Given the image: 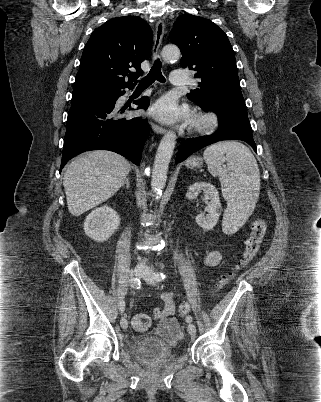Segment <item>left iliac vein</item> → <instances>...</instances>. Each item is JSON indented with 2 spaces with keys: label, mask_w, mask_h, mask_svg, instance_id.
<instances>
[{
  "label": "left iliac vein",
  "mask_w": 321,
  "mask_h": 402,
  "mask_svg": "<svg viewBox=\"0 0 321 402\" xmlns=\"http://www.w3.org/2000/svg\"><path fill=\"white\" fill-rule=\"evenodd\" d=\"M142 277L149 284H155L154 272L151 268H147ZM187 329L190 335L194 336L196 334V326L193 323H189Z\"/></svg>",
  "instance_id": "4c4485c4"
}]
</instances>
